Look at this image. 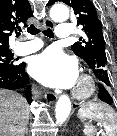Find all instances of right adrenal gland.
Returning <instances> with one entry per match:
<instances>
[{
  "mask_svg": "<svg viewBox=\"0 0 117 136\" xmlns=\"http://www.w3.org/2000/svg\"><path fill=\"white\" fill-rule=\"evenodd\" d=\"M27 134H28V129H26V131H25V136H27Z\"/></svg>",
  "mask_w": 117,
  "mask_h": 136,
  "instance_id": "obj_1",
  "label": "right adrenal gland"
}]
</instances>
